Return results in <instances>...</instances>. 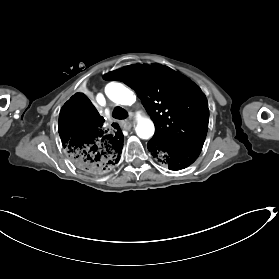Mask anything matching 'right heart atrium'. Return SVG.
Returning a JSON list of instances; mask_svg holds the SVG:
<instances>
[{"mask_svg":"<svg viewBox=\"0 0 279 279\" xmlns=\"http://www.w3.org/2000/svg\"><path fill=\"white\" fill-rule=\"evenodd\" d=\"M134 58L140 59V56L137 55V54H135V55H134ZM136 115H137V117H138V119H139L140 121H142L143 123L147 124V120L143 117V115H142V113H141L140 111H138V112L136 113Z\"/></svg>","mask_w":279,"mask_h":279,"instance_id":"1","label":"right heart atrium"}]
</instances>
